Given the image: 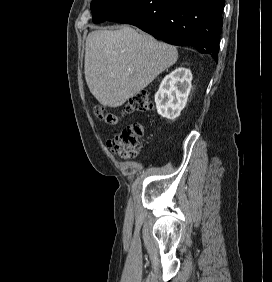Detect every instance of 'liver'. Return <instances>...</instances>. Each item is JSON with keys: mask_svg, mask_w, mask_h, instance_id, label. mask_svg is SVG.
<instances>
[{"mask_svg": "<svg viewBox=\"0 0 272 282\" xmlns=\"http://www.w3.org/2000/svg\"><path fill=\"white\" fill-rule=\"evenodd\" d=\"M178 59L177 48L129 26L96 30L85 47V79L92 95L119 107Z\"/></svg>", "mask_w": 272, "mask_h": 282, "instance_id": "1", "label": "liver"}]
</instances>
